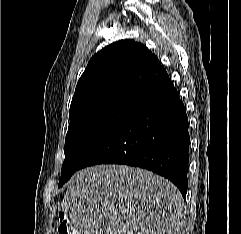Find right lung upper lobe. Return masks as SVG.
Segmentation results:
<instances>
[{
	"mask_svg": "<svg viewBox=\"0 0 241 234\" xmlns=\"http://www.w3.org/2000/svg\"><path fill=\"white\" fill-rule=\"evenodd\" d=\"M168 79L158 58L144 45L127 39L114 42L90 59L69 113L109 101L136 104Z\"/></svg>",
	"mask_w": 241,
	"mask_h": 234,
	"instance_id": "right-lung-upper-lobe-1",
	"label": "right lung upper lobe"
}]
</instances>
